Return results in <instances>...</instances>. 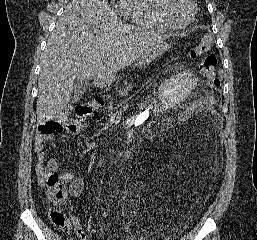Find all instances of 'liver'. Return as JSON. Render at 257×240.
Wrapping results in <instances>:
<instances>
[{
	"mask_svg": "<svg viewBox=\"0 0 257 240\" xmlns=\"http://www.w3.org/2000/svg\"><path fill=\"white\" fill-rule=\"evenodd\" d=\"M166 35L122 23L105 0H72L50 35L38 79L37 119H53L76 79L104 78L138 61Z\"/></svg>",
	"mask_w": 257,
	"mask_h": 240,
	"instance_id": "liver-1",
	"label": "liver"
}]
</instances>
